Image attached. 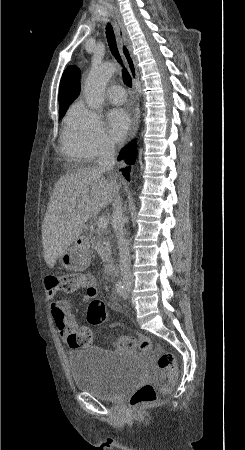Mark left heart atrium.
<instances>
[{
  "label": "left heart atrium",
  "mask_w": 245,
  "mask_h": 450,
  "mask_svg": "<svg viewBox=\"0 0 245 450\" xmlns=\"http://www.w3.org/2000/svg\"><path fill=\"white\" fill-rule=\"evenodd\" d=\"M131 124L130 113L125 108H113L108 113L109 131L116 142L125 138Z\"/></svg>",
  "instance_id": "left-heart-atrium-1"
}]
</instances>
